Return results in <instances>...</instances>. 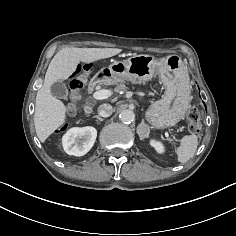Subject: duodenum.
<instances>
[{"label": "duodenum", "mask_w": 236, "mask_h": 236, "mask_svg": "<svg viewBox=\"0 0 236 236\" xmlns=\"http://www.w3.org/2000/svg\"><path fill=\"white\" fill-rule=\"evenodd\" d=\"M96 84H97L96 80L89 83V85H88V92H89L90 95H92L95 92Z\"/></svg>", "instance_id": "duodenum-1"}]
</instances>
